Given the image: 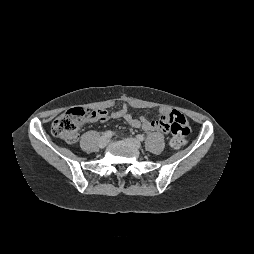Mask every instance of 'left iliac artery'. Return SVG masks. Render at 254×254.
<instances>
[{"label": "left iliac artery", "mask_w": 254, "mask_h": 254, "mask_svg": "<svg viewBox=\"0 0 254 254\" xmlns=\"http://www.w3.org/2000/svg\"><path fill=\"white\" fill-rule=\"evenodd\" d=\"M136 137H137V139H138L139 141H143V140H144V136L141 135V134L137 135Z\"/></svg>", "instance_id": "44dca946"}]
</instances>
